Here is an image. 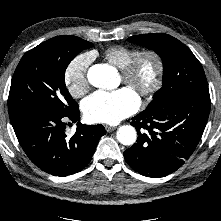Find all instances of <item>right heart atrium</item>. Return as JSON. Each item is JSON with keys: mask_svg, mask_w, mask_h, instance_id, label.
Listing matches in <instances>:
<instances>
[{"mask_svg": "<svg viewBox=\"0 0 221 221\" xmlns=\"http://www.w3.org/2000/svg\"><path fill=\"white\" fill-rule=\"evenodd\" d=\"M91 61L92 54H79L70 61L65 69L64 83L69 93L75 98L82 97L89 90L87 71Z\"/></svg>", "mask_w": 221, "mask_h": 221, "instance_id": "right-heart-atrium-1", "label": "right heart atrium"}]
</instances>
